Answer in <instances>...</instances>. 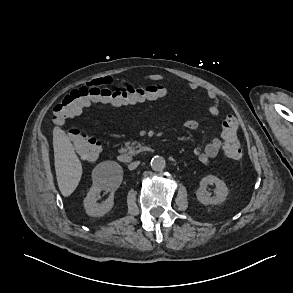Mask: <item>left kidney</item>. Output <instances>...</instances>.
Listing matches in <instances>:
<instances>
[{
    "label": "left kidney",
    "instance_id": "5707ae66",
    "mask_svg": "<svg viewBox=\"0 0 293 293\" xmlns=\"http://www.w3.org/2000/svg\"><path fill=\"white\" fill-rule=\"evenodd\" d=\"M208 185H215V195L207 191ZM228 195V188L224 181L216 176L208 175L201 179L200 186L196 191L197 200L204 205H217L224 202Z\"/></svg>",
    "mask_w": 293,
    "mask_h": 293
}]
</instances>
